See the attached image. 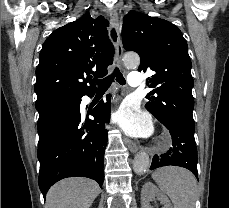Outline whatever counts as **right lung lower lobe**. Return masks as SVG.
Masks as SVG:
<instances>
[{
    "label": "right lung lower lobe",
    "mask_w": 229,
    "mask_h": 208,
    "mask_svg": "<svg viewBox=\"0 0 229 208\" xmlns=\"http://www.w3.org/2000/svg\"><path fill=\"white\" fill-rule=\"evenodd\" d=\"M80 103L81 98L38 124V182L44 198L54 183L66 177H88L100 187L103 184V157L108 140L104 124L110 118V96L106 104L101 101L92 110L90 115L94 119H82Z\"/></svg>",
    "instance_id": "right-lung-lower-lobe-1"
}]
</instances>
